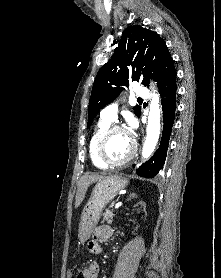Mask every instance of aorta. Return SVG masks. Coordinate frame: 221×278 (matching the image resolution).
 I'll return each instance as SVG.
<instances>
[{
  "label": "aorta",
  "instance_id": "1",
  "mask_svg": "<svg viewBox=\"0 0 221 278\" xmlns=\"http://www.w3.org/2000/svg\"><path fill=\"white\" fill-rule=\"evenodd\" d=\"M160 134V105L159 97L155 93L150 102V111L147 123V135L142 149V157L147 159L154 152Z\"/></svg>",
  "mask_w": 221,
  "mask_h": 278
}]
</instances>
